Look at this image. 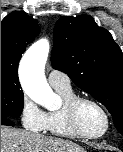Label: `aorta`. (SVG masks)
I'll list each match as a JSON object with an SVG mask.
<instances>
[{
	"instance_id": "aorta-1",
	"label": "aorta",
	"mask_w": 123,
	"mask_h": 152,
	"mask_svg": "<svg viewBox=\"0 0 123 152\" xmlns=\"http://www.w3.org/2000/svg\"><path fill=\"white\" fill-rule=\"evenodd\" d=\"M48 40L40 39L25 52L20 63V80L26 95L35 103L52 110L56 107L57 96L49 87L45 75V64L49 55Z\"/></svg>"
}]
</instances>
